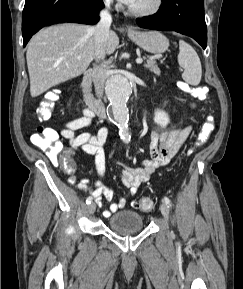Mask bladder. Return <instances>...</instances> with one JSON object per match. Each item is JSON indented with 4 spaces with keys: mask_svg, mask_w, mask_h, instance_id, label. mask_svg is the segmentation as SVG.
Segmentation results:
<instances>
[{
    "mask_svg": "<svg viewBox=\"0 0 243 289\" xmlns=\"http://www.w3.org/2000/svg\"><path fill=\"white\" fill-rule=\"evenodd\" d=\"M108 226L115 232L125 233L141 230L144 222L139 213L131 210H123L109 217Z\"/></svg>",
    "mask_w": 243,
    "mask_h": 289,
    "instance_id": "bladder-1",
    "label": "bladder"
}]
</instances>
